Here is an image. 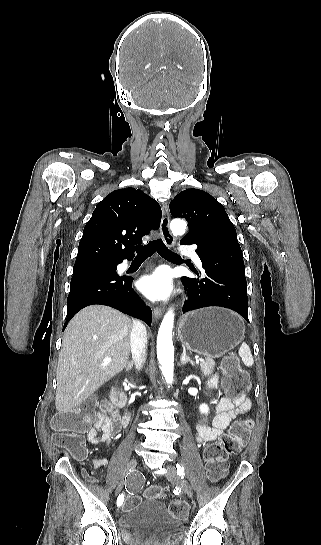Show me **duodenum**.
Listing matches in <instances>:
<instances>
[{"label":"duodenum","mask_w":321,"mask_h":545,"mask_svg":"<svg viewBox=\"0 0 321 545\" xmlns=\"http://www.w3.org/2000/svg\"><path fill=\"white\" fill-rule=\"evenodd\" d=\"M112 398L117 407L124 409L123 424L125 426L128 425L131 419V411L127 406V399L125 395L119 391H115L112 395Z\"/></svg>","instance_id":"1"}]
</instances>
